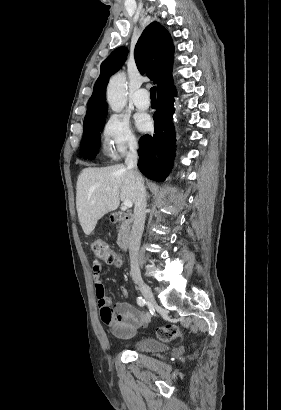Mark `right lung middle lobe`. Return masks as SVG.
<instances>
[{"label":"right lung middle lobe","instance_id":"dd1d6c3e","mask_svg":"<svg viewBox=\"0 0 281 410\" xmlns=\"http://www.w3.org/2000/svg\"><path fill=\"white\" fill-rule=\"evenodd\" d=\"M106 115L84 123V133L81 141V153L85 159H92L97 154L101 131L105 124Z\"/></svg>","mask_w":281,"mask_h":410}]
</instances>
